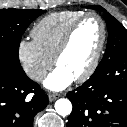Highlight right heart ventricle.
<instances>
[{
	"instance_id": "obj_1",
	"label": "right heart ventricle",
	"mask_w": 127,
	"mask_h": 127,
	"mask_svg": "<svg viewBox=\"0 0 127 127\" xmlns=\"http://www.w3.org/2000/svg\"><path fill=\"white\" fill-rule=\"evenodd\" d=\"M82 14V11L67 10L41 18L31 31L34 42L45 55L53 58L65 32Z\"/></svg>"
}]
</instances>
